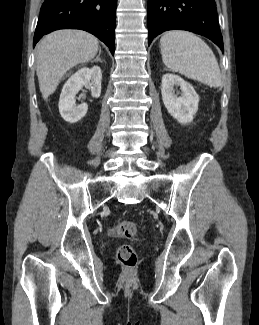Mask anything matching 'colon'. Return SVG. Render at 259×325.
<instances>
[{"mask_svg":"<svg viewBox=\"0 0 259 325\" xmlns=\"http://www.w3.org/2000/svg\"><path fill=\"white\" fill-rule=\"evenodd\" d=\"M136 225L131 221L119 222L112 230L115 237L130 239L135 236ZM117 260L125 267H133L137 262L135 248L130 244H122L117 250Z\"/></svg>","mask_w":259,"mask_h":325,"instance_id":"5ec220e1","label":"colon"}]
</instances>
